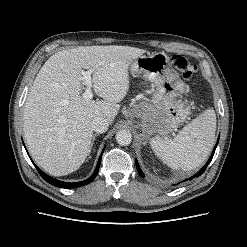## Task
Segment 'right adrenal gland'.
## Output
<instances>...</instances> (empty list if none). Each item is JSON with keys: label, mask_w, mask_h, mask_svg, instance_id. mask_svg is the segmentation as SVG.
Wrapping results in <instances>:
<instances>
[{"label": "right adrenal gland", "mask_w": 247, "mask_h": 247, "mask_svg": "<svg viewBox=\"0 0 247 247\" xmlns=\"http://www.w3.org/2000/svg\"><path fill=\"white\" fill-rule=\"evenodd\" d=\"M98 135H99V134H95V135L93 136L92 143H91V148L93 147V144H94L95 138H96Z\"/></svg>", "instance_id": "right-adrenal-gland-1"}]
</instances>
